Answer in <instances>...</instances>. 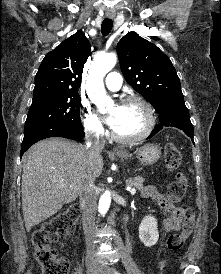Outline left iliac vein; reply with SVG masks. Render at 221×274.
Returning <instances> with one entry per match:
<instances>
[{"mask_svg":"<svg viewBox=\"0 0 221 274\" xmlns=\"http://www.w3.org/2000/svg\"><path fill=\"white\" fill-rule=\"evenodd\" d=\"M97 274H115V273L110 267H108L104 264H101L98 267V273Z\"/></svg>","mask_w":221,"mask_h":274,"instance_id":"left-iliac-vein-1","label":"left iliac vein"}]
</instances>
